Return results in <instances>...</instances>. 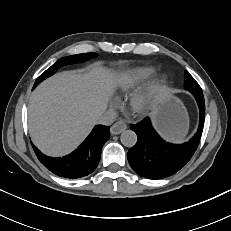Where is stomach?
Returning a JSON list of instances; mask_svg holds the SVG:
<instances>
[{"mask_svg": "<svg viewBox=\"0 0 231 231\" xmlns=\"http://www.w3.org/2000/svg\"><path fill=\"white\" fill-rule=\"evenodd\" d=\"M153 123L168 141H182L188 131L189 119L183 103L172 93L161 96L153 113Z\"/></svg>", "mask_w": 231, "mask_h": 231, "instance_id": "obj_1", "label": "stomach"}]
</instances>
